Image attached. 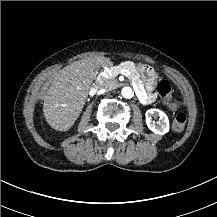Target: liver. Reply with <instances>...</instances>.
Returning <instances> with one entry per match:
<instances>
[{"instance_id": "liver-1", "label": "liver", "mask_w": 217, "mask_h": 217, "mask_svg": "<svg viewBox=\"0 0 217 217\" xmlns=\"http://www.w3.org/2000/svg\"><path fill=\"white\" fill-rule=\"evenodd\" d=\"M105 66H112L110 58L93 57L75 61L56 74L43 103L45 119L53 129L67 131L72 127L96 76L94 70Z\"/></svg>"}]
</instances>
